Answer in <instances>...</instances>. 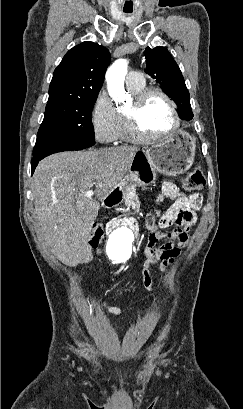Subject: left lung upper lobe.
I'll return each instance as SVG.
<instances>
[{
  "label": "left lung upper lobe",
  "instance_id": "left-lung-upper-lobe-1",
  "mask_svg": "<svg viewBox=\"0 0 243 409\" xmlns=\"http://www.w3.org/2000/svg\"><path fill=\"white\" fill-rule=\"evenodd\" d=\"M146 69L153 79L162 86L163 91L172 98L179 108V116L187 121L193 118L190 96L181 71L164 47H147L144 51Z\"/></svg>",
  "mask_w": 243,
  "mask_h": 409
}]
</instances>
